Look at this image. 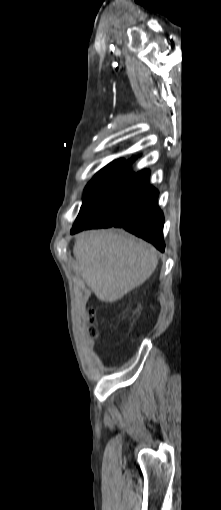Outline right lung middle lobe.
<instances>
[{"mask_svg":"<svg viewBox=\"0 0 221 510\" xmlns=\"http://www.w3.org/2000/svg\"><path fill=\"white\" fill-rule=\"evenodd\" d=\"M136 158L117 159L99 171L85 188L83 204L103 218L118 216L139 175L129 172Z\"/></svg>","mask_w":221,"mask_h":510,"instance_id":"1","label":"right lung middle lobe"}]
</instances>
